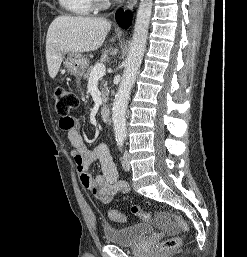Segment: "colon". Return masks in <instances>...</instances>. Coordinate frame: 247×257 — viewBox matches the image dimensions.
Instances as JSON below:
<instances>
[{
  "label": "colon",
  "instance_id": "1",
  "mask_svg": "<svg viewBox=\"0 0 247 257\" xmlns=\"http://www.w3.org/2000/svg\"><path fill=\"white\" fill-rule=\"evenodd\" d=\"M55 94V108L56 112L60 116V120L62 121L63 125L69 126L71 125V116L70 112L76 109L79 105L78 97L75 93L69 90L66 87L58 86L54 90ZM132 213L139 216L143 220H150L151 216L149 213L142 210V208L138 205H133ZM109 218L113 222H124L125 216L119 212L118 210H111L109 212ZM170 218L182 229L186 230L187 225L185 221L178 215H170ZM181 243V238L178 236L170 237L164 240L160 245V251L162 253H169L174 251L176 248L179 247Z\"/></svg>",
  "mask_w": 247,
  "mask_h": 257
}]
</instances>
